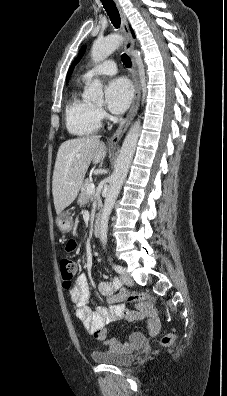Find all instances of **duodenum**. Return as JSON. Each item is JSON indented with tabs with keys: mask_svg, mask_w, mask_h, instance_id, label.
<instances>
[{
	"mask_svg": "<svg viewBox=\"0 0 227 396\" xmlns=\"http://www.w3.org/2000/svg\"><path fill=\"white\" fill-rule=\"evenodd\" d=\"M93 231H94L95 235H99L100 234V232H101V222H100L99 219H97L95 221L94 226H93Z\"/></svg>",
	"mask_w": 227,
	"mask_h": 396,
	"instance_id": "410a0bca",
	"label": "duodenum"
}]
</instances>
